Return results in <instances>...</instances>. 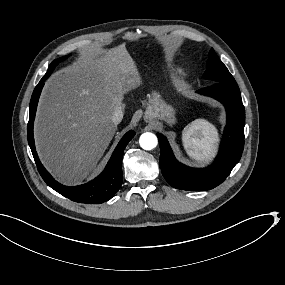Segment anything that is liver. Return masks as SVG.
Wrapping results in <instances>:
<instances>
[{"mask_svg":"<svg viewBox=\"0 0 285 285\" xmlns=\"http://www.w3.org/2000/svg\"><path fill=\"white\" fill-rule=\"evenodd\" d=\"M144 83L125 45L84 49L78 63L49 78L35 136L41 159L55 176L64 183L87 177L116 132L112 116L124 95Z\"/></svg>","mask_w":285,"mask_h":285,"instance_id":"6515ba94","label":"liver"}]
</instances>
